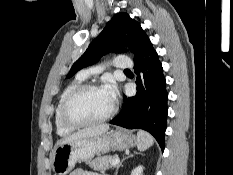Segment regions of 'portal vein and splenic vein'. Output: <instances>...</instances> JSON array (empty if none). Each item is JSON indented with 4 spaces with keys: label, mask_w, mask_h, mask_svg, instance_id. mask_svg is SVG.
<instances>
[{
    "label": "portal vein and splenic vein",
    "mask_w": 233,
    "mask_h": 175,
    "mask_svg": "<svg viewBox=\"0 0 233 175\" xmlns=\"http://www.w3.org/2000/svg\"><path fill=\"white\" fill-rule=\"evenodd\" d=\"M120 162V159L117 157L115 158L112 162H111V165H116Z\"/></svg>",
    "instance_id": "18ae733b"
}]
</instances>
